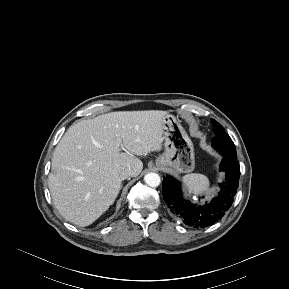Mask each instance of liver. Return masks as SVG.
<instances>
[{"instance_id":"obj_1","label":"liver","mask_w":289,"mask_h":289,"mask_svg":"<svg viewBox=\"0 0 289 289\" xmlns=\"http://www.w3.org/2000/svg\"><path fill=\"white\" fill-rule=\"evenodd\" d=\"M166 115L159 110L119 111L72 125L55 148L48 177L59 213L84 227L107 211L121 189L119 173L130 168L138 176L143 163L135 155L162 149Z\"/></svg>"}]
</instances>
